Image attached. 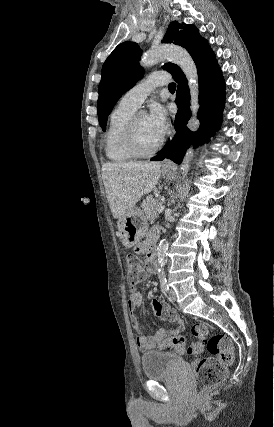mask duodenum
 Masks as SVG:
<instances>
[{"instance_id": "1", "label": "duodenum", "mask_w": 274, "mask_h": 427, "mask_svg": "<svg viewBox=\"0 0 274 427\" xmlns=\"http://www.w3.org/2000/svg\"><path fill=\"white\" fill-rule=\"evenodd\" d=\"M157 258V246L153 243L147 252V259L152 264L155 265Z\"/></svg>"}]
</instances>
